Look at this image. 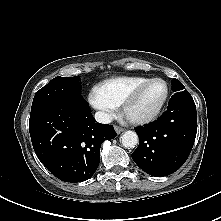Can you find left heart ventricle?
<instances>
[{"instance_id":"left-heart-ventricle-1","label":"left heart ventricle","mask_w":221,"mask_h":221,"mask_svg":"<svg viewBox=\"0 0 221 221\" xmlns=\"http://www.w3.org/2000/svg\"><path fill=\"white\" fill-rule=\"evenodd\" d=\"M165 93L162 83H153L145 88L139 100L130 109L131 117H144L153 112L161 102Z\"/></svg>"}]
</instances>
